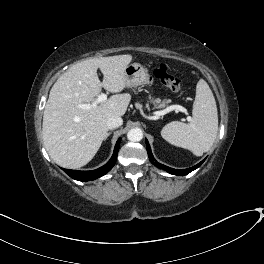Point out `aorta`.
I'll return each instance as SVG.
<instances>
[{
  "mask_svg": "<svg viewBox=\"0 0 264 264\" xmlns=\"http://www.w3.org/2000/svg\"><path fill=\"white\" fill-rule=\"evenodd\" d=\"M127 138L129 141L138 142L143 138V132L139 128H133L128 131Z\"/></svg>",
  "mask_w": 264,
  "mask_h": 264,
  "instance_id": "aorta-1",
  "label": "aorta"
}]
</instances>
